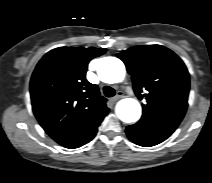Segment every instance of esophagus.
<instances>
[{
	"label": "esophagus",
	"mask_w": 212,
	"mask_h": 183,
	"mask_svg": "<svg viewBox=\"0 0 212 183\" xmlns=\"http://www.w3.org/2000/svg\"><path fill=\"white\" fill-rule=\"evenodd\" d=\"M122 96H123V92L122 91H118L117 94L112 98V101H117Z\"/></svg>",
	"instance_id": "esophagus-1"
}]
</instances>
